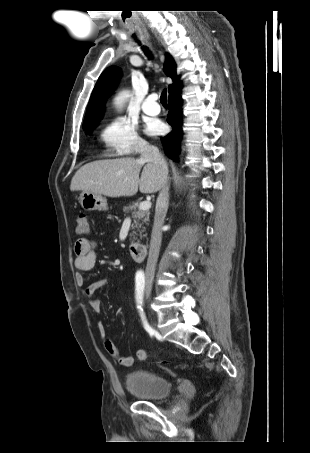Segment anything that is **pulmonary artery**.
<instances>
[{
  "label": "pulmonary artery",
  "instance_id": "obj_1",
  "mask_svg": "<svg viewBox=\"0 0 310 453\" xmlns=\"http://www.w3.org/2000/svg\"><path fill=\"white\" fill-rule=\"evenodd\" d=\"M157 95L155 93L150 94L142 105V110L144 113L150 116H156L160 113V106L156 102Z\"/></svg>",
  "mask_w": 310,
  "mask_h": 453
}]
</instances>
